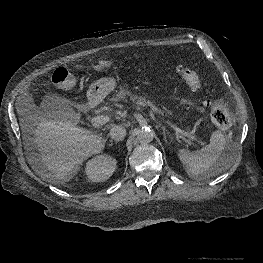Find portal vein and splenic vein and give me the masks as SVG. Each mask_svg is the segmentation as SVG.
Returning <instances> with one entry per match:
<instances>
[{
    "mask_svg": "<svg viewBox=\"0 0 263 263\" xmlns=\"http://www.w3.org/2000/svg\"><path fill=\"white\" fill-rule=\"evenodd\" d=\"M109 121H110L109 116L99 115V116H96V117L91 119V124L95 127H98V126L106 124ZM167 124L170 125L171 127H173L178 133L188 137L189 139H193V137L191 136L190 133L185 132V131L177 128L174 124H172L168 121H167ZM189 144H190V142H189Z\"/></svg>",
    "mask_w": 263,
    "mask_h": 263,
    "instance_id": "portal-vein-and-splenic-vein-1",
    "label": "portal vein and splenic vein"
}]
</instances>
